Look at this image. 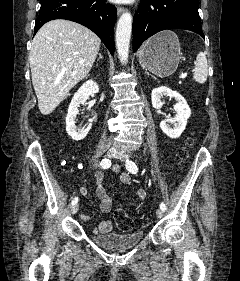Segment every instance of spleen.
<instances>
[{
    "mask_svg": "<svg viewBox=\"0 0 240 281\" xmlns=\"http://www.w3.org/2000/svg\"><path fill=\"white\" fill-rule=\"evenodd\" d=\"M194 64H195V68L193 70L194 80L200 84L205 83L208 76V63H207L206 55L203 52H200L197 55Z\"/></svg>",
    "mask_w": 240,
    "mask_h": 281,
    "instance_id": "spleen-1",
    "label": "spleen"
}]
</instances>
